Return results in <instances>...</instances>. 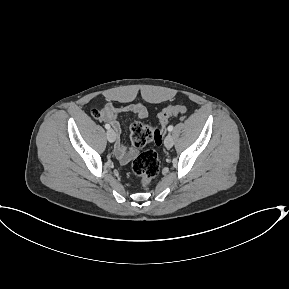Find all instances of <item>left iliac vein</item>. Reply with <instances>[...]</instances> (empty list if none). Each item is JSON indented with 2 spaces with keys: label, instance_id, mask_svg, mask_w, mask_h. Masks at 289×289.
<instances>
[{
  "label": "left iliac vein",
  "instance_id": "left-iliac-vein-1",
  "mask_svg": "<svg viewBox=\"0 0 289 289\" xmlns=\"http://www.w3.org/2000/svg\"><path fill=\"white\" fill-rule=\"evenodd\" d=\"M164 144L167 148H171L174 145V138L171 134H168L164 140Z\"/></svg>",
  "mask_w": 289,
  "mask_h": 289
}]
</instances>
